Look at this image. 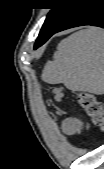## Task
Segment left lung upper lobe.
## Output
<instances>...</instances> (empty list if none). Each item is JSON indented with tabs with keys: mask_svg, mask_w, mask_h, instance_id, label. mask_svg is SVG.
Returning a JSON list of instances; mask_svg holds the SVG:
<instances>
[{
	"mask_svg": "<svg viewBox=\"0 0 104 169\" xmlns=\"http://www.w3.org/2000/svg\"><path fill=\"white\" fill-rule=\"evenodd\" d=\"M52 2L56 6L51 8L41 29L45 35L53 31L61 23L72 10L76 0H52Z\"/></svg>",
	"mask_w": 104,
	"mask_h": 169,
	"instance_id": "5c2ea615",
	"label": "left lung upper lobe"
}]
</instances>
